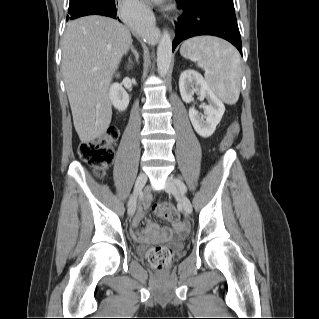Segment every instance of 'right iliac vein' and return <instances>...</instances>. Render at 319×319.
Here are the masks:
<instances>
[{
  "instance_id": "right-iliac-vein-1",
  "label": "right iliac vein",
  "mask_w": 319,
  "mask_h": 319,
  "mask_svg": "<svg viewBox=\"0 0 319 319\" xmlns=\"http://www.w3.org/2000/svg\"><path fill=\"white\" fill-rule=\"evenodd\" d=\"M146 182H147L146 174L140 173L136 179L135 188H134V195L129 202L128 214L130 216H132L135 213L137 195L140 193V191L142 190V188L144 187Z\"/></svg>"
}]
</instances>
